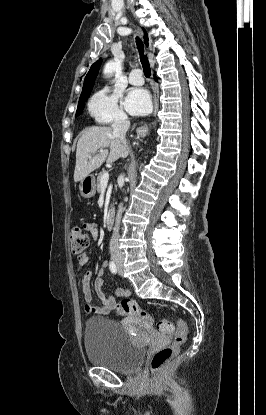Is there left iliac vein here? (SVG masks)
<instances>
[{
	"mask_svg": "<svg viewBox=\"0 0 266 415\" xmlns=\"http://www.w3.org/2000/svg\"><path fill=\"white\" fill-rule=\"evenodd\" d=\"M118 273H119L120 275H122V273H123V270H122V266H121V264H119V265H118Z\"/></svg>",
	"mask_w": 266,
	"mask_h": 415,
	"instance_id": "obj_1",
	"label": "left iliac vein"
}]
</instances>
